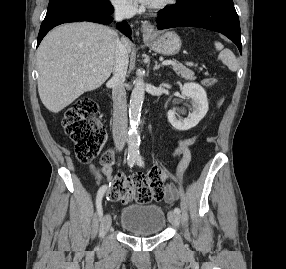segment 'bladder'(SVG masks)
Wrapping results in <instances>:
<instances>
[{"instance_id": "1", "label": "bladder", "mask_w": 286, "mask_h": 269, "mask_svg": "<svg viewBox=\"0 0 286 269\" xmlns=\"http://www.w3.org/2000/svg\"><path fill=\"white\" fill-rule=\"evenodd\" d=\"M119 224L133 234H159L166 227V214L157 205L133 203L121 210Z\"/></svg>"}]
</instances>
